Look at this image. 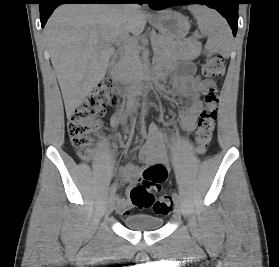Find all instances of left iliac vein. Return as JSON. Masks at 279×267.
<instances>
[{"instance_id": "4c4485c4", "label": "left iliac vein", "mask_w": 279, "mask_h": 267, "mask_svg": "<svg viewBox=\"0 0 279 267\" xmlns=\"http://www.w3.org/2000/svg\"><path fill=\"white\" fill-rule=\"evenodd\" d=\"M174 212H175V214H177V215H180V213H181V208H180V205H179V202H178V201L175 202V209H174Z\"/></svg>"}]
</instances>
